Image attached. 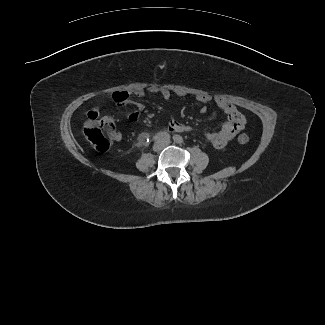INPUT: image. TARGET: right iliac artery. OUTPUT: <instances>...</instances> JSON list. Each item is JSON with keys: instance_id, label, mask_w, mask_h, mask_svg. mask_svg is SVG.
Returning a JSON list of instances; mask_svg holds the SVG:
<instances>
[{"instance_id": "82829eb1", "label": "right iliac artery", "mask_w": 325, "mask_h": 325, "mask_svg": "<svg viewBox=\"0 0 325 325\" xmlns=\"http://www.w3.org/2000/svg\"><path fill=\"white\" fill-rule=\"evenodd\" d=\"M169 139H170V134L167 132H159L153 137L154 141L169 140Z\"/></svg>"}]
</instances>
